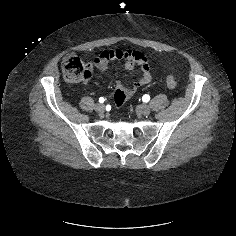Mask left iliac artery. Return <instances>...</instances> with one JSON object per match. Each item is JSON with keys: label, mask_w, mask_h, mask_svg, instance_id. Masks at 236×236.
<instances>
[{"label": "left iliac artery", "mask_w": 236, "mask_h": 236, "mask_svg": "<svg viewBox=\"0 0 236 236\" xmlns=\"http://www.w3.org/2000/svg\"><path fill=\"white\" fill-rule=\"evenodd\" d=\"M142 99L143 101L148 102L150 100V96L145 94Z\"/></svg>", "instance_id": "left-iliac-artery-1"}]
</instances>
